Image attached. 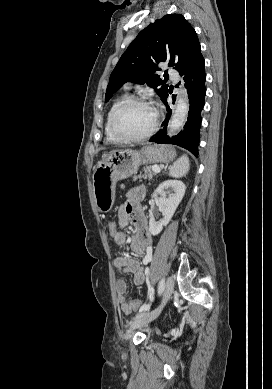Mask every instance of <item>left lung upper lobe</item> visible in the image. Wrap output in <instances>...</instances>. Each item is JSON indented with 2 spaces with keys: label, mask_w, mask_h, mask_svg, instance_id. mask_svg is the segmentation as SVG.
Returning <instances> with one entry per match:
<instances>
[{
  "label": "left lung upper lobe",
  "mask_w": 272,
  "mask_h": 389,
  "mask_svg": "<svg viewBox=\"0 0 272 389\" xmlns=\"http://www.w3.org/2000/svg\"><path fill=\"white\" fill-rule=\"evenodd\" d=\"M200 46L193 27L181 14H168L142 30L123 53L110 75L105 101L128 81L148 84L162 100L168 85L155 72L159 62H168L178 72Z\"/></svg>",
  "instance_id": "obj_1"
}]
</instances>
